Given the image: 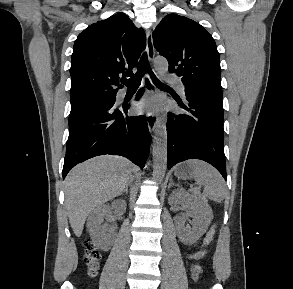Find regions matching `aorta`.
I'll return each mask as SVG.
<instances>
[{"mask_svg":"<svg viewBox=\"0 0 293 289\" xmlns=\"http://www.w3.org/2000/svg\"><path fill=\"white\" fill-rule=\"evenodd\" d=\"M154 67L161 76L168 70V62L163 58H156ZM167 167V129L164 118L157 120L153 141V178L162 181Z\"/></svg>","mask_w":293,"mask_h":289,"instance_id":"aorta-1","label":"aorta"}]
</instances>
